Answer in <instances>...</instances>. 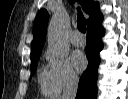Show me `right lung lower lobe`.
Returning a JSON list of instances; mask_svg holds the SVG:
<instances>
[{"mask_svg": "<svg viewBox=\"0 0 128 99\" xmlns=\"http://www.w3.org/2000/svg\"><path fill=\"white\" fill-rule=\"evenodd\" d=\"M101 23V13L87 23L86 56L88 58V67L80 78L76 99H96L97 69L100 63L99 52L103 48L101 37L104 35V28Z\"/></svg>", "mask_w": 128, "mask_h": 99, "instance_id": "1", "label": "right lung lower lobe"}]
</instances>
